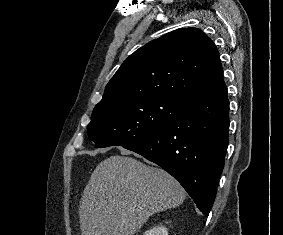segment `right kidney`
<instances>
[{
	"mask_svg": "<svg viewBox=\"0 0 283 235\" xmlns=\"http://www.w3.org/2000/svg\"><path fill=\"white\" fill-rule=\"evenodd\" d=\"M144 235H168V230L163 226H157L145 232Z\"/></svg>",
	"mask_w": 283,
	"mask_h": 235,
	"instance_id": "1",
	"label": "right kidney"
}]
</instances>
